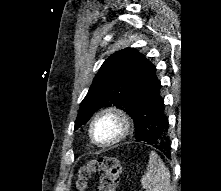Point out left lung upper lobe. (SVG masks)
Masks as SVG:
<instances>
[{"label": "left lung upper lobe", "instance_id": "left-lung-upper-lobe-1", "mask_svg": "<svg viewBox=\"0 0 221 191\" xmlns=\"http://www.w3.org/2000/svg\"><path fill=\"white\" fill-rule=\"evenodd\" d=\"M142 58L143 55L136 49L125 48L105 60L80 105L74 130L106 106L123 109L133 118L132 89Z\"/></svg>", "mask_w": 221, "mask_h": 191}]
</instances>
